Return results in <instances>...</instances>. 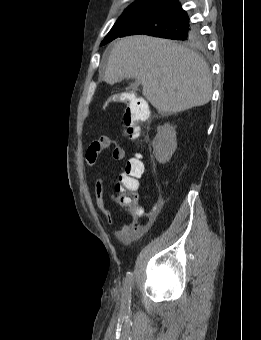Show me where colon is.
<instances>
[{"mask_svg": "<svg viewBox=\"0 0 261 340\" xmlns=\"http://www.w3.org/2000/svg\"><path fill=\"white\" fill-rule=\"evenodd\" d=\"M148 115V105L144 100L137 98L126 100L123 107V122L126 132L131 138H137L140 135L141 123L148 118ZM143 172L144 165L139 155L127 162L126 173L121 176L117 184L115 201L120 207L129 208L131 212L138 211L129 193L137 189L138 178L142 176Z\"/></svg>", "mask_w": 261, "mask_h": 340, "instance_id": "obj_1", "label": "colon"}]
</instances>
